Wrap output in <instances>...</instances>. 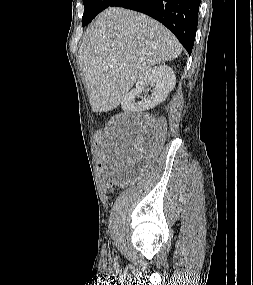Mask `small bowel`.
<instances>
[{"instance_id":"obj_1","label":"small bowel","mask_w":253,"mask_h":285,"mask_svg":"<svg viewBox=\"0 0 253 285\" xmlns=\"http://www.w3.org/2000/svg\"><path fill=\"white\" fill-rule=\"evenodd\" d=\"M105 143H106V141H105ZM108 150L110 151L111 149L108 147Z\"/></svg>"}]
</instances>
